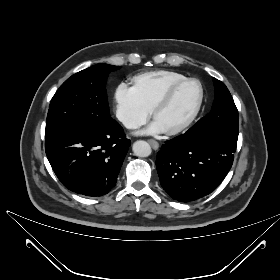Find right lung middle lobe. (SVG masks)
Instances as JSON below:
<instances>
[{"label":"right lung middle lobe","mask_w":280,"mask_h":280,"mask_svg":"<svg viewBox=\"0 0 280 280\" xmlns=\"http://www.w3.org/2000/svg\"><path fill=\"white\" fill-rule=\"evenodd\" d=\"M120 68L98 64L68 78L51 99L45 137L61 128L105 127L114 122L105 85L108 74Z\"/></svg>","instance_id":"right-lung-middle-lobe-1"}]
</instances>
